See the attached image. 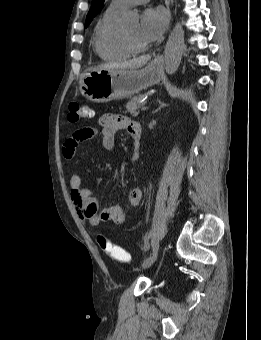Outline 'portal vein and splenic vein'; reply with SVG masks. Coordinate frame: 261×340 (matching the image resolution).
Masks as SVG:
<instances>
[{
    "label": "portal vein and splenic vein",
    "instance_id": "1",
    "mask_svg": "<svg viewBox=\"0 0 261 340\" xmlns=\"http://www.w3.org/2000/svg\"><path fill=\"white\" fill-rule=\"evenodd\" d=\"M147 109H148V107L145 106V105H143L142 108H141L142 111H146Z\"/></svg>",
    "mask_w": 261,
    "mask_h": 340
}]
</instances>
